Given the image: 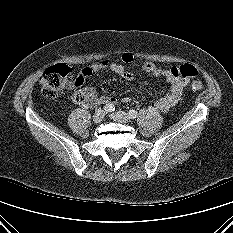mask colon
<instances>
[{"mask_svg":"<svg viewBox=\"0 0 233 233\" xmlns=\"http://www.w3.org/2000/svg\"><path fill=\"white\" fill-rule=\"evenodd\" d=\"M71 72V68L66 64H57L46 69L40 78V87L43 95L53 98L67 88ZM174 75L183 79H191L198 75V70L195 66L186 64L177 67L174 70ZM191 88L194 91H200L203 89V84L198 80H194L191 83ZM72 98L75 102H80L83 99L80 92H75Z\"/></svg>","mask_w":233,"mask_h":233,"instance_id":"obj_1","label":"colon"}]
</instances>
